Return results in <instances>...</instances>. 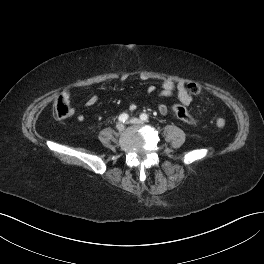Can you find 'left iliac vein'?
<instances>
[{"instance_id": "obj_1", "label": "left iliac vein", "mask_w": 264, "mask_h": 264, "mask_svg": "<svg viewBox=\"0 0 264 264\" xmlns=\"http://www.w3.org/2000/svg\"><path fill=\"white\" fill-rule=\"evenodd\" d=\"M129 122L130 123H133V124H141L142 123V121L139 120V119H137V118H132V119H130Z\"/></svg>"}]
</instances>
